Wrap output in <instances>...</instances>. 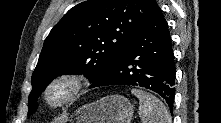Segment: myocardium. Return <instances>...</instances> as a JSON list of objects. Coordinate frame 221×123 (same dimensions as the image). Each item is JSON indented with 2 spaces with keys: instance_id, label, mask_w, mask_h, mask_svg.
Segmentation results:
<instances>
[{
  "instance_id": "f54148a6",
  "label": "myocardium",
  "mask_w": 221,
  "mask_h": 123,
  "mask_svg": "<svg viewBox=\"0 0 221 123\" xmlns=\"http://www.w3.org/2000/svg\"><path fill=\"white\" fill-rule=\"evenodd\" d=\"M85 87L86 81L82 75L59 74L45 86L42 99L49 108L59 109L76 101L83 94ZM57 90H61L62 95L58 99H53L52 94Z\"/></svg>"
}]
</instances>
